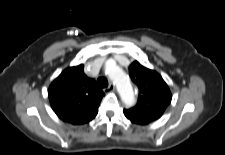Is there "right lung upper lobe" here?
<instances>
[{"mask_svg":"<svg viewBox=\"0 0 225 155\" xmlns=\"http://www.w3.org/2000/svg\"><path fill=\"white\" fill-rule=\"evenodd\" d=\"M83 68L81 64L65 69L48 90L53 111L62 121L73 125L94 119L104 96L103 91L96 89L95 80L84 74Z\"/></svg>","mask_w":225,"mask_h":155,"instance_id":"1","label":"right lung upper lobe"}]
</instances>
